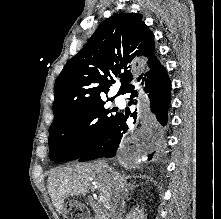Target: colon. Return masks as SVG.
<instances>
[{"mask_svg": "<svg viewBox=\"0 0 221 219\" xmlns=\"http://www.w3.org/2000/svg\"><path fill=\"white\" fill-rule=\"evenodd\" d=\"M67 219H82L83 209L74 203H68L66 206Z\"/></svg>", "mask_w": 221, "mask_h": 219, "instance_id": "obj_1", "label": "colon"}]
</instances>
